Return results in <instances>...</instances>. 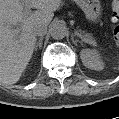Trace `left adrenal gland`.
Wrapping results in <instances>:
<instances>
[{
    "label": "left adrenal gland",
    "instance_id": "a2214340",
    "mask_svg": "<svg viewBox=\"0 0 119 119\" xmlns=\"http://www.w3.org/2000/svg\"><path fill=\"white\" fill-rule=\"evenodd\" d=\"M72 41H73V43L76 45L77 44V42H79V43H81L82 44V41H79V40H74L73 38H72Z\"/></svg>",
    "mask_w": 119,
    "mask_h": 119
}]
</instances>
